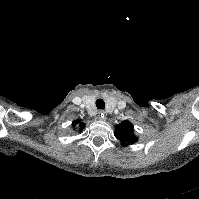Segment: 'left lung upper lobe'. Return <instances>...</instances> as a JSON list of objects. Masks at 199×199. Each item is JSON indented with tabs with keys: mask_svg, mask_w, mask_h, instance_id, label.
Masks as SVG:
<instances>
[{
	"mask_svg": "<svg viewBox=\"0 0 199 199\" xmlns=\"http://www.w3.org/2000/svg\"><path fill=\"white\" fill-rule=\"evenodd\" d=\"M115 137L121 141L122 146H127L137 141V137L133 135V125L125 120L115 126Z\"/></svg>",
	"mask_w": 199,
	"mask_h": 199,
	"instance_id": "left-lung-upper-lobe-1",
	"label": "left lung upper lobe"
}]
</instances>
